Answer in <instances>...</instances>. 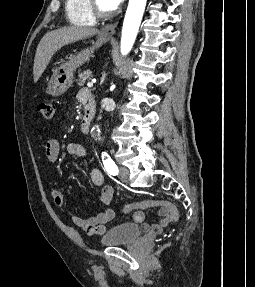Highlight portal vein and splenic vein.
<instances>
[{"mask_svg": "<svg viewBox=\"0 0 255 287\" xmlns=\"http://www.w3.org/2000/svg\"><path fill=\"white\" fill-rule=\"evenodd\" d=\"M95 82H97V80H92V82H88V88H93V84H95Z\"/></svg>", "mask_w": 255, "mask_h": 287, "instance_id": "obj_1", "label": "portal vein and splenic vein"}]
</instances>
